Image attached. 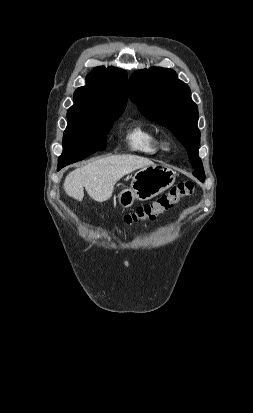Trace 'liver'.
Here are the masks:
<instances>
[{
    "label": "liver",
    "instance_id": "6515ba94",
    "mask_svg": "<svg viewBox=\"0 0 253 413\" xmlns=\"http://www.w3.org/2000/svg\"><path fill=\"white\" fill-rule=\"evenodd\" d=\"M154 165L147 158L133 155L100 158L70 172L63 187L67 195L78 201H82L85 188L93 200L103 202L111 198L116 182L123 176Z\"/></svg>",
    "mask_w": 253,
    "mask_h": 413
}]
</instances>
